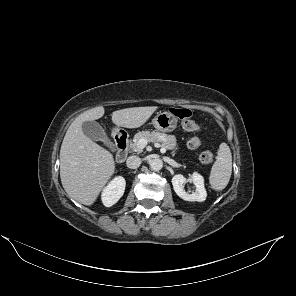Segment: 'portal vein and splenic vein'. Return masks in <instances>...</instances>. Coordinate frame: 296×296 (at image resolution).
Returning <instances> with one entry per match:
<instances>
[{
	"label": "portal vein and splenic vein",
	"instance_id": "obj_1",
	"mask_svg": "<svg viewBox=\"0 0 296 296\" xmlns=\"http://www.w3.org/2000/svg\"><path fill=\"white\" fill-rule=\"evenodd\" d=\"M148 144L147 140L145 139H140L137 143V147L140 149V150H143L146 145ZM161 152L162 153H165L166 152V149L165 148H161Z\"/></svg>",
	"mask_w": 296,
	"mask_h": 296
}]
</instances>
